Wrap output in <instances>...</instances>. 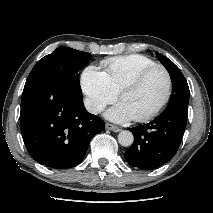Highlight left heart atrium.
<instances>
[{"label":"left heart atrium","mask_w":213,"mask_h":213,"mask_svg":"<svg viewBox=\"0 0 213 213\" xmlns=\"http://www.w3.org/2000/svg\"><path fill=\"white\" fill-rule=\"evenodd\" d=\"M106 118L114 122H126L134 117L127 106L120 102L106 112Z\"/></svg>","instance_id":"1"}]
</instances>
